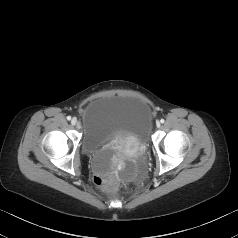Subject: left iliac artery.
Wrapping results in <instances>:
<instances>
[{
  "label": "left iliac artery",
  "instance_id": "44dca946",
  "mask_svg": "<svg viewBox=\"0 0 238 238\" xmlns=\"http://www.w3.org/2000/svg\"><path fill=\"white\" fill-rule=\"evenodd\" d=\"M160 122H161V123H164V122H165V120H164V119H161V120H160Z\"/></svg>",
  "mask_w": 238,
  "mask_h": 238
}]
</instances>
